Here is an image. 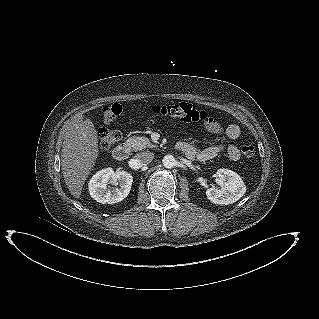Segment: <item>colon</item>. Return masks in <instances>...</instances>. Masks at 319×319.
<instances>
[{
  "label": "colon",
  "instance_id": "colon-1",
  "mask_svg": "<svg viewBox=\"0 0 319 319\" xmlns=\"http://www.w3.org/2000/svg\"><path fill=\"white\" fill-rule=\"evenodd\" d=\"M151 110L154 114L183 122H199L209 119V115L206 111L185 102L157 105L153 106ZM122 111L123 106L120 103L107 105L102 110L103 118L105 122L111 123L122 113ZM98 136L100 146L103 149H109L121 139L119 131L108 128L100 129ZM241 153L244 157L252 159L255 156V148L251 144L242 143Z\"/></svg>",
  "mask_w": 319,
  "mask_h": 319
}]
</instances>
